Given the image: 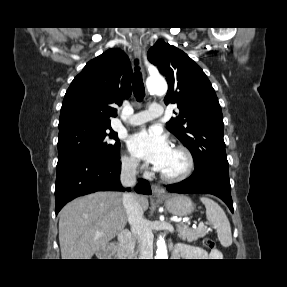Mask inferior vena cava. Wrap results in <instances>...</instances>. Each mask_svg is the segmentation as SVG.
<instances>
[{"mask_svg":"<svg viewBox=\"0 0 287 287\" xmlns=\"http://www.w3.org/2000/svg\"><path fill=\"white\" fill-rule=\"evenodd\" d=\"M136 168L137 162L135 161L129 160L122 163L120 181L123 186H135ZM123 204L128 222L131 225V231L140 244L139 259H153V234L147 220L143 217V209L138 202L137 196L132 192L125 193L123 195Z\"/></svg>","mask_w":287,"mask_h":287,"instance_id":"602c4592","label":"inferior vena cava"}]
</instances>
